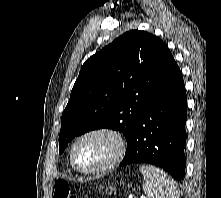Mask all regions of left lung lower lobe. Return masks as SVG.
Instances as JSON below:
<instances>
[{"label":"left lung lower lobe","mask_w":221,"mask_h":198,"mask_svg":"<svg viewBox=\"0 0 221 198\" xmlns=\"http://www.w3.org/2000/svg\"><path fill=\"white\" fill-rule=\"evenodd\" d=\"M187 98L182 73L173 61L156 94L145 106L120 166L148 163L181 181L185 176Z\"/></svg>","instance_id":"1"}]
</instances>
